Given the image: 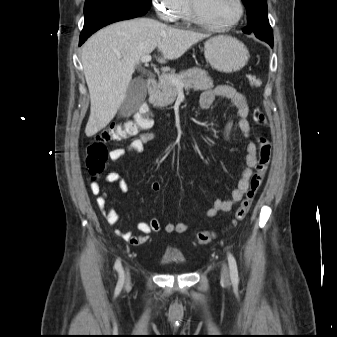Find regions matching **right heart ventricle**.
<instances>
[{
    "label": "right heart ventricle",
    "mask_w": 337,
    "mask_h": 337,
    "mask_svg": "<svg viewBox=\"0 0 337 337\" xmlns=\"http://www.w3.org/2000/svg\"><path fill=\"white\" fill-rule=\"evenodd\" d=\"M179 19L186 23L192 22L187 0H184V6L180 12Z\"/></svg>",
    "instance_id": "right-heart-ventricle-1"
}]
</instances>
